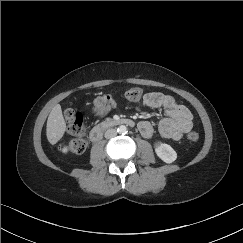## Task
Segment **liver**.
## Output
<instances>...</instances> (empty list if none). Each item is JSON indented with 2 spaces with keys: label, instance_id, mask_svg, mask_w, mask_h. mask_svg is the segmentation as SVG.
Segmentation results:
<instances>
[{
  "label": "liver",
  "instance_id": "6515ba94",
  "mask_svg": "<svg viewBox=\"0 0 243 243\" xmlns=\"http://www.w3.org/2000/svg\"><path fill=\"white\" fill-rule=\"evenodd\" d=\"M66 131V122L63 118L60 104H56L47 120L46 136L50 144H56Z\"/></svg>",
  "mask_w": 243,
  "mask_h": 243
}]
</instances>
